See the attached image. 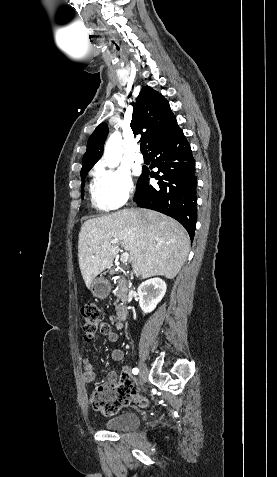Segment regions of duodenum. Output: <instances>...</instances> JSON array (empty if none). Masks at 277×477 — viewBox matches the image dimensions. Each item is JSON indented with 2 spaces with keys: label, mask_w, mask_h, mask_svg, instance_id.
Masks as SVG:
<instances>
[{
  "label": "duodenum",
  "mask_w": 277,
  "mask_h": 477,
  "mask_svg": "<svg viewBox=\"0 0 277 477\" xmlns=\"http://www.w3.org/2000/svg\"><path fill=\"white\" fill-rule=\"evenodd\" d=\"M116 316H117V319L119 321H124L126 320L127 316H128V310H127V307L122 305V306H119L117 308V311H116Z\"/></svg>",
  "instance_id": "obj_1"
}]
</instances>
